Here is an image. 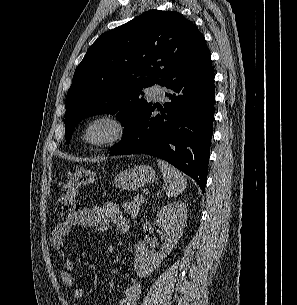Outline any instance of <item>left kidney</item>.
I'll list each match as a JSON object with an SVG mask.
<instances>
[{"label": "left kidney", "mask_w": 297, "mask_h": 305, "mask_svg": "<svg viewBox=\"0 0 297 305\" xmlns=\"http://www.w3.org/2000/svg\"><path fill=\"white\" fill-rule=\"evenodd\" d=\"M187 221V204L174 201L164 206L157 214L156 223L166 238L159 253L149 250L145 242H138L135 248L134 269L137 276H149L171 253L183 234Z\"/></svg>", "instance_id": "5707ae66"}]
</instances>
